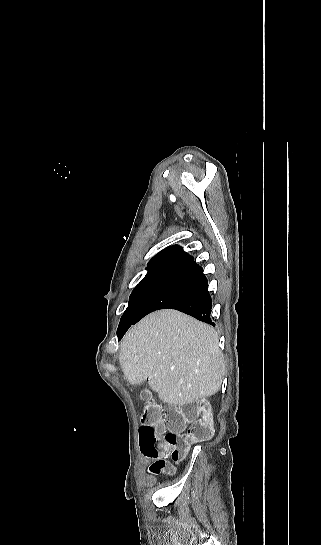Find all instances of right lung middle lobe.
Instances as JSON below:
<instances>
[{
	"label": "right lung middle lobe",
	"mask_w": 321,
	"mask_h": 545,
	"mask_svg": "<svg viewBox=\"0 0 321 545\" xmlns=\"http://www.w3.org/2000/svg\"><path fill=\"white\" fill-rule=\"evenodd\" d=\"M147 270L146 276L134 288L130 295L128 307L120 322L129 321L135 318L159 287L175 271L174 269L169 268H148Z\"/></svg>",
	"instance_id": "right-lung-middle-lobe-1"
}]
</instances>
